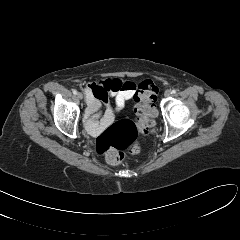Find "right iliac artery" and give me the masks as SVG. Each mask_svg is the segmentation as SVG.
Instances as JSON below:
<instances>
[{
  "label": "right iliac artery",
  "instance_id": "obj_1",
  "mask_svg": "<svg viewBox=\"0 0 240 240\" xmlns=\"http://www.w3.org/2000/svg\"><path fill=\"white\" fill-rule=\"evenodd\" d=\"M73 94L76 95V94H77V91H76V90H73Z\"/></svg>",
  "mask_w": 240,
  "mask_h": 240
}]
</instances>
